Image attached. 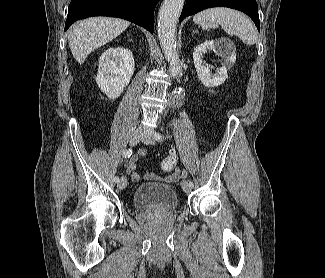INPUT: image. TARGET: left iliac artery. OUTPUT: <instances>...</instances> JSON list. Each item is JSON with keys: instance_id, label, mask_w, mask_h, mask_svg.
<instances>
[{"instance_id": "left-iliac-artery-1", "label": "left iliac artery", "mask_w": 325, "mask_h": 278, "mask_svg": "<svg viewBox=\"0 0 325 278\" xmlns=\"http://www.w3.org/2000/svg\"><path fill=\"white\" fill-rule=\"evenodd\" d=\"M154 138L156 140H158V141H163V139H164L163 136L160 133H157V132L154 134ZM189 185H190V187L194 186L192 181H189Z\"/></svg>"}]
</instances>
